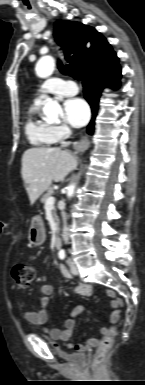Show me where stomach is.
<instances>
[{"mask_svg":"<svg viewBox=\"0 0 145 385\" xmlns=\"http://www.w3.org/2000/svg\"><path fill=\"white\" fill-rule=\"evenodd\" d=\"M44 224L40 217H34L28 231V241L31 245L39 246L45 241Z\"/></svg>","mask_w":145,"mask_h":385,"instance_id":"stomach-1","label":"stomach"}]
</instances>
